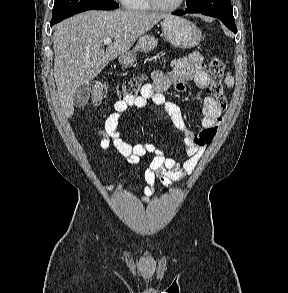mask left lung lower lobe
<instances>
[{
    "label": "left lung lower lobe",
    "instance_id": "1",
    "mask_svg": "<svg viewBox=\"0 0 288 293\" xmlns=\"http://www.w3.org/2000/svg\"><path fill=\"white\" fill-rule=\"evenodd\" d=\"M185 13H201V14H204V15L216 17V18L220 19L228 29H230L234 33L237 32V28H236L234 19H228V18H225L223 16H220V15H217V14H212V13L197 12V11L190 10V9H186V11L177 10L175 12H172V14H174V15H184Z\"/></svg>",
    "mask_w": 288,
    "mask_h": 293
}]
</instances>
